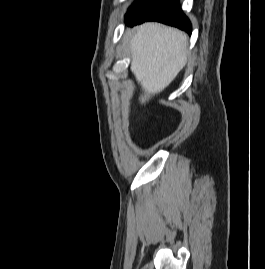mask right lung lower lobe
<instances>
[{
	"label": "right lung lower lobe",
	"instance_id": "obj_1",
	"mask_svg": "<svg viewBox=\"0 0 265 269\" xmlns=\"http://www.w3.org/2000/svg\"><path fill=\"white\" fill-rule=\"evenodd\" d=\"M145 21H158L191 34L189 19L179 7L178 0H138L128 10L126 23L130 26Z\"/></svg>",
	"mask_w": 265,
	"mask_h": 269
}]
</instances>
